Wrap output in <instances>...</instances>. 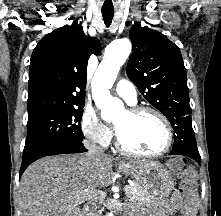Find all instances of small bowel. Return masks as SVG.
Returning a JSON list of instances; mask_svg holds the SVG:
<instances>
[{
  "instance_id": "small-bowel-1",
  "label": "small bowel",
  "mask_w": 221,
  "mask_h": 216,
  "mask_svg": "<svg viewBox=\"0 0 221 216\" xmlns=\"http://www.w3.org/2000/svg\"><path fill=\"white\" fill-rule=\"evenodd\" d=\"M197 202L193 200H183L181 193L174 192L171 198L162 205L158 216H195Z\"/></svg>"
}]
</instances>
